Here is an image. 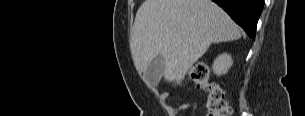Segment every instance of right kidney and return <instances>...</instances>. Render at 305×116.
<instances>
[{"mask_svg": "<svg viewBox=\"0 0 305 116\" xmlns=\"http://www.w3.org/2000/svg\"><path fill=\"white\" fill-rule=\"evenodd\" d=\"M232 64L233 61L231 55L223 53L215 59L213 63V71L218 76L226 74Z\"/></svg>", "mask_w": 305, "mask_h": 116, "instance_id": "right-kidney-1", "label": "right kidney"}]
</instances>
